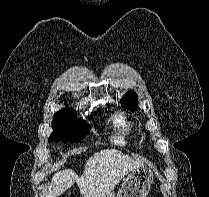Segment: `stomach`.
I'll return each instance as SVG.
<instances>
[{
	"mask_svg": "<svg viewBox=\"0 0 209 197\" xmlns=\"http://www.w3.org/2000/svg\"><path fill=\"white\" fill-rule=\"evenodd\" d=\"M152 182V171L143 165L131 171L117 194L111 192L106 197H146Z\"/></svg>",
	"mask_w": 209,
	"mask_h": 197,
	"instance_id": "1",
	"label": "stomach"
}]
</instances>
